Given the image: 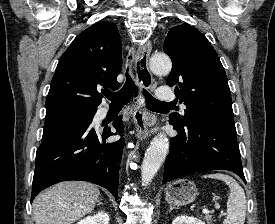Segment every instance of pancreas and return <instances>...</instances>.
<instances>
[{
    "label": "pancreas",
    "instance_id": "cf45deb5",
    "mask_svg": "<svg viewBox=\"0 0 275 224\" xmlns=\"http://www.w3.org/2000/svg\"><path fill=\"white\" fill-rule=\"evenodd\" d=\"M203 219L207 221L208 224H213L211 215H205Z\"/></svg>",
    "mask_w": 275,
    "mask_h": 224
}]
</instances>
